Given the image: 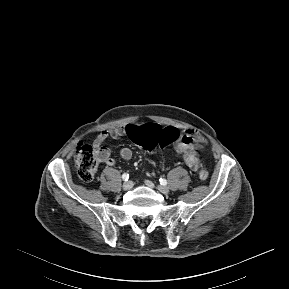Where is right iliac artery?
<instances>
[{
    "instance_id": "1",
    "label": "right iliac artery",
    "mask_w": 289,
    "mask_h": 289,
    "mask_svg": "<svg viewBox=\"0 0 289 289\" xmlns=\"http://www.w3.org/2000/svg\"><path fill=\"white\" fill-rule=\"evenodd\" d=\"M122 179H123L124 181H128V179H129V174L124 173V174L122 175Z\"/></svg>"
}]
</instances>
